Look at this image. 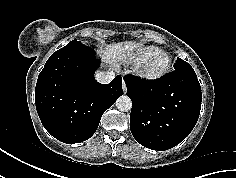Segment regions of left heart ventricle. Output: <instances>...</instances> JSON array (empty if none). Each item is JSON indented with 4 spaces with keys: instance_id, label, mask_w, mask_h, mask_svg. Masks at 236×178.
<instances>
[{
    "instance_id": "b2bd125f",
    "label": "left heart ventricle",
    "mask_w": 236,
    "mask_h": 178,
    "mask_svg": "<svg viewBox=\"0 0 236 178\" xmlns=\"http://www.w3.org/2000/svg\"><path fill=\"white\" fill-rule=\"evenodd\" d=\"M167 65V58L163 57L156 60L152 66L153 70L160 71Z\"/></svg>"
}]
</instances>
